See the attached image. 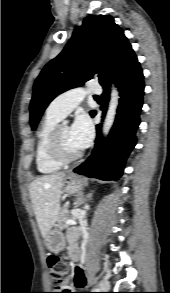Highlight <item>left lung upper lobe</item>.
Listing matches in <instances>:
<instances>
[{"label":"left lung upper lobe","instance_id":"1","mask_svg":"<svg viewBox=\"0 0 170 293\" xmlns=\"http://www.w3.org/2000/svg\"><path fill=\"white\" fill-rule=\"evenodd\" d=\"M131 47L111 16H88L77 27L63 51L36 79L30 104V124L35 130L48 104L60 93L99 78L104 83L113 66ZM95 111H91L93 115Z\"/></svg>","mask_w":170,"mask_h":293}]
</instances>
